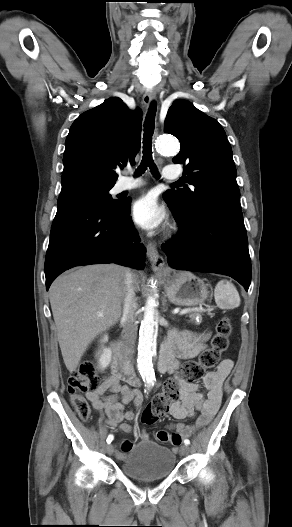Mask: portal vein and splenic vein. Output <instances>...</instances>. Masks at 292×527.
Listing matches in <instances>:
<instances>
[{"label":"portal vein and splenic vein","mask_w":292,"mask_h":527,"mask_svg":"<svg viewBox=\"0 0 292 527\" xmlns=\"http://www.w3.org/2000/svg\"><path fill=\"white\" fill-rule=\"evenodd\" d=\"M203 311V309L201 308H195V309H183L180 311V315H184V314H187V313H190V312H201ZM99 317H103L102 314H99Z\"/></svg>","instance_id":"obj_1"}]
</instances>
